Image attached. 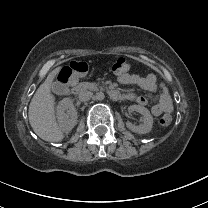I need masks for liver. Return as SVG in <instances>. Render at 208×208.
<instances>
[{
	"label": "liver",
	"instance_id": "obj_1",
	"mask_svg": "<svg viewBox=\"0 0 208 208\" xmlns=\"http://www.w3.org/2000/svg\"><path fill=\"white\" fill-rule=\"evenodd\" d=\"M60 69L61 67H57L48 74L44 83L35 92L28 111L29 122L34 132L49 142H60L64 138L55 119V98L50 92L51 84Z\"/></svg>",
	"mask_w": 208,
	"mask_h": 208
}]
</instances>
